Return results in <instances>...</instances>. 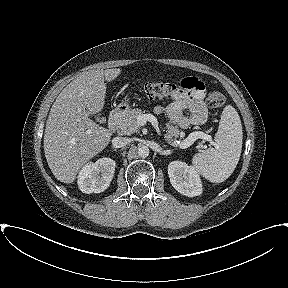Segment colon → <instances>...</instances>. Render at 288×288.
Returning a JSON list of instances; mask_svg holds the SVG:
<instances>
[{"label": "colon", "mask_w": 288, "mask_h": 288, "mask_svg": "<svg viewBox=\"0 0 288 288\" xmlns=\"http://www.w3.org/2000/svg\"><path fill=\"white\" fill-rule=\"evenodd\" d=\"M184 88L179 83L148 82L143 87V93L148 99L167 98L173 96ZM207 103L211 108H219L225 103L224 95L219 91L209 93Z\"/></svg>", "instance_id": "colon-1"}]
</instances>
